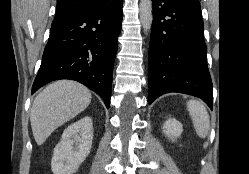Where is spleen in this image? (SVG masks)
<instances>
[{"label":"spleen","instance_id":"3e777b00","mask_svg":"<svg viewBox=\"0 0 249 174\" xmlns=\"http://www.w3.org/2000/svg\"><path fill=\"white\" fill-rule=\"evenodd\" d=\"M187 109L197 135L205 138L210 128V117L205 106L200 101L190 100L187 102Z\"/></svg>","mask_w":249,"mask_h":174}]
</instances>
